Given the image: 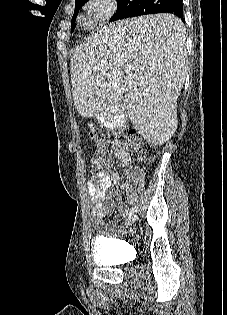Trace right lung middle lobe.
<instances>
[{"label":"right lung middle lobe","instance_id":"1","mask_svg":"<svg viewBox=\"0 0 227 315\" xmlns=\"http://www.w3.org/2000/svg\"><path fill=\"white\" fill-rule=\"evenodd\" d=\"M88 0H76L75 1V11L71 22V32L74 30L75 26V19L78 13V10L82 7L84 3H86ZM143 0H117V10L115 15L110 19V21H114L118 19V16L120 14V11L125 6H137L139 5Z\"/></svg>","mask_w":227,"mask_h":315}]
</instances>
